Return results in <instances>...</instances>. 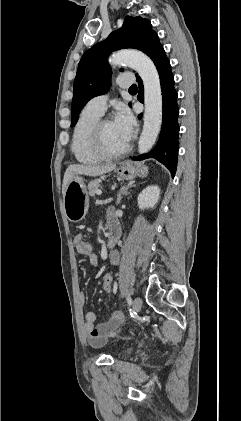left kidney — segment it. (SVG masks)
<instances>
[{
    "mask_svg": "<svg viewBox=\"0 0 241 421\" xmlns=\"http://www.w3.org/2000/svg\"><path fill=\"white\" fill-rule=\"evenodd\" d=\"M160 198V188L157 185L146 187L138 195V206L141 210L154 208Z\"/></svg>",
    "mask_w": 241,
    "mask_h": 421,
    "instance_id": "left-kidney-1",
    "label": "left kidney"
}]
</instances>
